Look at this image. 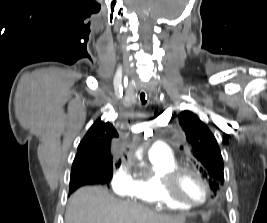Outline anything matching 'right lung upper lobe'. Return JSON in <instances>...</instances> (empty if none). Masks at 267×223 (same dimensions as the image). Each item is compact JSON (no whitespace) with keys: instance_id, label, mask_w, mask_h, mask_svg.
Listing matches in <instances>:
<instances>
[{"instance_id":"cb5924a9","label":"right lung upper lobe","mask_w":267,"mask_h":223,"mask_svg":"<svg viewBox=\"0 0 267 223\" xmlns=\"http://www.w3.org/2000/svg\"><path fill=\"white\" fill-rule=\"evenodd\" d=\"M113 137H118L113 125L109 122L97 120L78 146L71 174L105 175L106 169L113 167L109 151V144Z\"/></svg>"}]
</instances>
